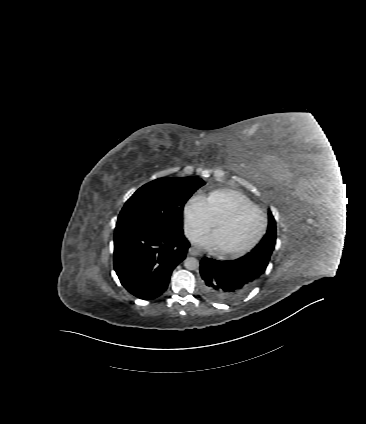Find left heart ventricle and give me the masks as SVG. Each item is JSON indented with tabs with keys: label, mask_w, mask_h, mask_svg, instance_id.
Instances as JSON below:
<instances>
[{
	"label": "left heart ventricle",
	"mask_w": 366,
	"mask_h": 424,
	"mask_svg": "<svg viewBox=\"0 0 366 424\" xmlns=\"http://www.w3.org/2000/svg\"><path fill=\"white\" fill-rule=\"evenodd\" d=\"M261 227V215L255 210H247L231 222L218 227L213 236L219 248L238 250L250 244L259 234Z\"/></svg>",
	"instance_id": "1"
}]
</instances>
